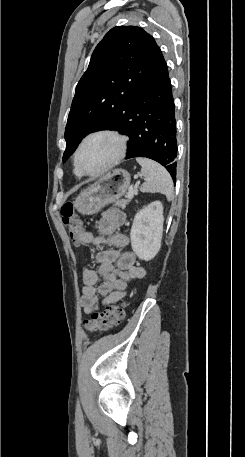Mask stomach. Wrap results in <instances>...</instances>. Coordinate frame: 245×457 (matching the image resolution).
I'll use <instances>...</instances> for the list:
<instances>
[{
	"instance_id": "1",
	"label": "stomach",
	"mask_w": 245,
	"mask_h": 457,
	"mask_svg": "<svg viewBox=\"0 0 245 457\" xmlns=\"http://www.w3.org/2000/svg\"><path fill=\"white\" fill-rule=\"evenodd\" d=\"M131 176L125 168H114L85 188L74 200V206L82 214H95L106 204L119 200L125 194Z\"/></svg>"
}]
</instances>
